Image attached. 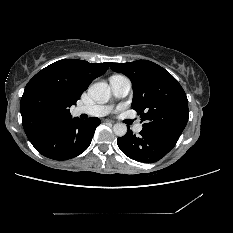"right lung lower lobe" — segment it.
Here are the masks:
<instances>
[{
	"label": "right lung lower lobe",
	"instance_id": "1",
	"mask_svg": "<svg viewBox=\"0 0 233 233\" xmlns=\"http://www.w3.org/2000/svg\"><path fill=\"white\" fill-rule=\"evenodd\" d=\"M99 124V118L87 120L74 118L31 143L40 154L47 158L71 159L88 148Z\"/></svg>",
	"mask_w": 233,
	"mask_h": 233
}]
</instances>
